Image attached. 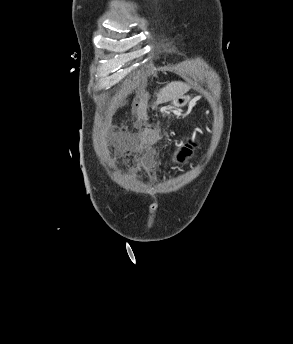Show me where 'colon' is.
I'll return each mask as SVG.
<instances>
[{
  "mask_svg": "<svg viewBox=\"0 0 293 344\" xmlns=\"http://www.w3.org/2000/svg\"><path fill=\"white\" fill-rule=\"evenodd\" d=\"M126 133H122L121 136H124ZM196 146V143L195 142H189V143H186L183 148H182V156H189L192 151H193V148Z\"/></svg>",
  "mask_w": 293,
  "mask_h": 344,
  "instance_id": "colon-1",
  "label": "colon"
}]
</instances>
